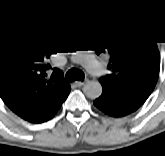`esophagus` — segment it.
<instances>
[{
    "instance_id": "obj_1",
    "label": "esophagus",
    "mask_w": 165,
    "mask_h": 156,
    "mask_svg": "<svg viewBox=\"0 0 165 156\" xmlns=\"http://www.w3.org/2000/svg\"><path fill=\"white\" fill-rule=\"evenodd\" d=\"M85 82H86V80L83 81V82H82V81H75L74 84H75L77 87H80V86L84 85Z\"/></svg>"
}]
</instances>
